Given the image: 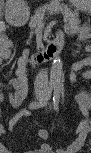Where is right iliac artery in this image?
I'll return each mask as SVG.
<instances>
[{
  "label": "right iliac artery",
  "mask_w": 91,
  "mask_h": 153,
  "mask_svg": "<svg viewBox=\"0 0 91 153\" xmlns=\"http://www.w3.org/2000/svg\"><path fill=\"white\" fill-rule=\"evenodd\" d=\"M52 89H53L52 85L49 86L48 90H47L46 98L42 101H39V102L35 101V102L30 103L29 109L30 110H35V109H38V108H41V107L45 106L51 98Z\"/></svg>",
  "instance_id": "1"
}]
</instances>
